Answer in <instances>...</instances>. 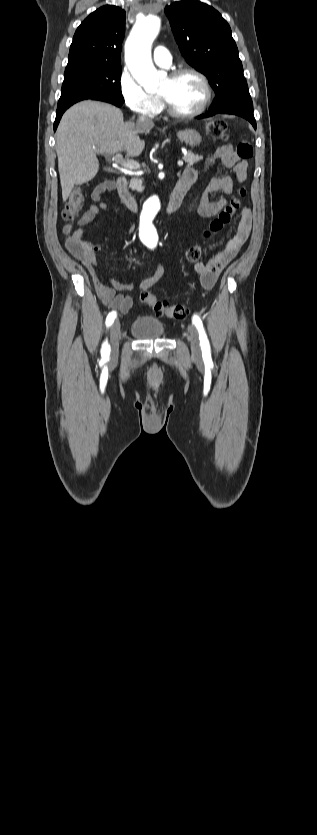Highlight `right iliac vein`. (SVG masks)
Returning <instances> with one entry per match:
<instances>
[{
	"mask_svg": "<svg viewBox=\"0 0 317 835\" xmlns=\"http://www.w3.org/2000/svg\"><path fill=\"white\" fill-rule=\"evenodd\" d=\"M120 323L115 321L110 329V345L113 355H116L119 347Z\"/></svg>",
	"mask_w": 317,
	"mask_h": 835,
	"instance_id": "1",
	"label": "right iliac vein"
}]
</instances>
